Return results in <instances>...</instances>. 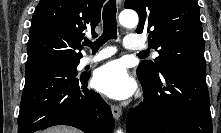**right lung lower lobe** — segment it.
<instances>
[{"instance_id": "right-lung-lower-lobe-1", "label": "right lung lower lobe", "mask_w": 221, "mask_h": 133, "mask_svg": "<svg viewBox=\"0 0 221 133\" xmlns=\"http://www.w3.org/2000/svg\"><path fill=\"white\" fill-rule=\"evenodd\" d=\"M65 63L26 70L18 118V133H33L54 125L74 126L85 133H111L114 120L100 95L86 88L89 76Z\"/></svg>"}]
</instances>
